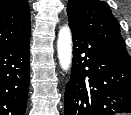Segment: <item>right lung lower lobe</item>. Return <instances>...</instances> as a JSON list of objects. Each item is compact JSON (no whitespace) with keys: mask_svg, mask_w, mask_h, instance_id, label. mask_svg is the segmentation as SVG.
I'll return each mask as SVG.
<instances>
[{"mask_svg":"<svg viewBox=\"0 0 131 115\" xmlns=\"http://www.w3.org/2000/svg\"><path fill=\"white\" fill-rule=\"evenodd\" d=\"M30 36L0 49V115H25L29 88Z\"/></svg>","mask_w":131,"mask_h":115,"instance_id":"obj_1","label":"right lung lower lobe"}]
</instances>
